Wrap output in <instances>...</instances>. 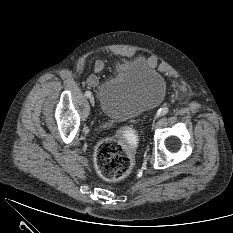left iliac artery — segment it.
<instances>
[{
  "instance_id": "1",
  "label": "left iliac artery",
  "mask_w": 233,
  "mask_h": 233,
  "mask_svg": "<svg viewBox=\"0 0 233 233\" xmlns=\"http://www.w3.org/2000/svg\"><path fill=\"white\" fill-rule=\"evenodd\" d=\"M169 111V108L168 107H163V108H160L157 112V117L158 116H164L168 113Z\"/></svg>"
}]
</instances>
